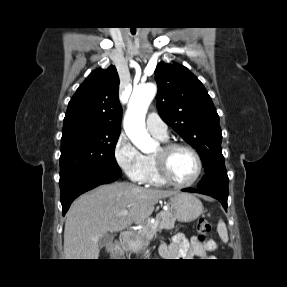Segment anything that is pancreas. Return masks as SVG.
<instances>
[{"instance_id":"obj_1","label":"pancreas","mask_w":287,"mask_h":287,"mask_svg":"<svg viewBox=\"0 0 287 287\" xmlns=\"http://www.w3.org/2000/svg\"><path fill=\"white\" fill-rule=\"evenodd\" d=\"M156 218L159 219L156 229H153L154 223H151L149 219L146 221L144 228L138 232V235L145 239L146 242L151 240L156 232L161 231L162 229L172 230L174 228L176 218L170 209L162 210Z\"/></svg>"}]
</instances>
